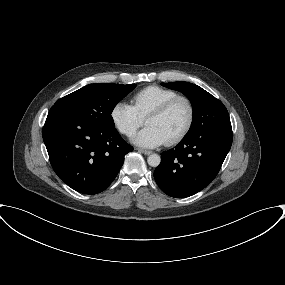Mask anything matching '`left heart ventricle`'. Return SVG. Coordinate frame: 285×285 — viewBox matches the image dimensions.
<instances>
[{
  "mask_svg": "<svg viewBox=\"0 0 285 285\" xmlns=\"http://www.w3.org/2000/svg\"><path fill=\"white\" fill-rule=\"evenodd\" d=\"M187 107L183 102L176 103L168 112L158 117H150L145 123L155 127L168 140L177 134L187 119Z\"/></svg>",
  "mask_w": 285,
  "mask_h": 285,
  "instance_id": "1",
  "label": "left heart ventricle"
}]
</instances>
